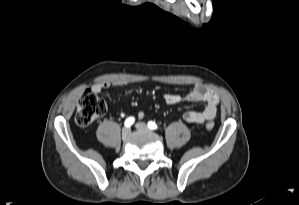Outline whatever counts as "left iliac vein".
I'll return each instance as SVG.
<instances>
[{"label": "left iliac vein", "mask_w": 299, "mask_h": 205, "mask_svg": "<svg viewBox=\"0 0 299 205\" xmlns=\"http://www.w3.org/2000/svg\"><path fill=\"white\" fill-rule=\"evenodd\" d=\"M135 127L138 130H144V131L148 130V127H147V125L145 123H137L135 125Z\"/></svg>", "instance_id": "4c4485c4"}]
</instances>
